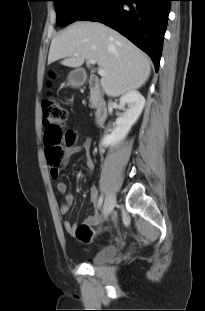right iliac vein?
<instances>
[{
	"label": "right iliac vein",
	"mask_w": 205,
	"mask_h": 311,
	"mask_svg": "<svg viewBox=\"0 0 205 311\" xmlns=\"http://www.w3.org/2000/svg\"><path fill=\"white\" fill-rule=\"evenodd\" d=\"M116 204V198L114 195H110L107 197L104 206H103V217L107 218L112 210L114 209V206Z\"/></svg>",
	"instance_id": "obj_1"
}]
</instances>
